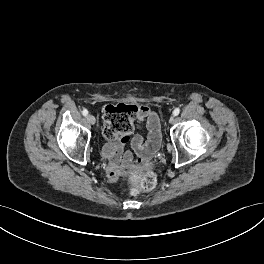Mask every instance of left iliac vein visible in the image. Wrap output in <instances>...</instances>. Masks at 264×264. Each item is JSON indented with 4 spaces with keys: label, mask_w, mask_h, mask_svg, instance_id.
<instances>
[{
    "label": "left iliac vein",
    "mask_w": 264,
    "mask_h": 264,
    "mask_svg": "<svg viewBox=\"0 0 264 264\" xmlns=\"http://www.w3.org/2000/svg\"><path fill=\"white\" fill-rule=\"evenodd\" d=\"M174 122H175V117H173V116L170 117V119H169V123H170V124H173Z\"/></svg>",
    "instance_id": "obj_1"
}]
</instances>
